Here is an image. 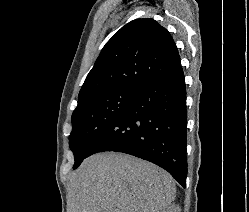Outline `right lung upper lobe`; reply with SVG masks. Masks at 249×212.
Wrapping results in <instances>:
<instances>
[{
  "instance_id": "cb5924a9",
  "label": "right lung upper lobe",
  "mask_w": 249,
  "mask_h": 212,
  "mask_svg": "<svg viewBox=\"0 0 249 212\" xmlns=\"http://www.w3.org/2000/svg\"><path fill=\"white\" fill-rule=\"evenodd\" d=\"M180 66L170 33L153 19H136L103 47L79 92L78 105L105 93L139 92Z\"/></svg>"
}]
</instances>
